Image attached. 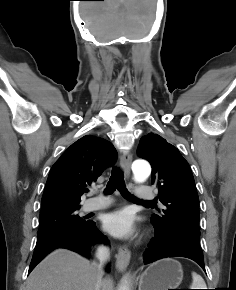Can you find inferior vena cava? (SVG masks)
Returning <instances> with one entry per match:
<instances>
[{
    "label": "inferior vena cava",
    "mask_w": 236,
    "mask_h": 290,
    "mask_svg": "<svg viewBox=\"0 0 236 290\" xmlns=\"http://www.w3.org/2000/svg\"><path fill=\"white\" fill-rule=\"evenodd\" d=\"M110 260V250L106 246H100L98 247L95 255V260L93 261V265L97 268L98 270V290L100 287V282L102 278V273H103V266Z\"/></svg>",
    "instance_id": "1"
}]
</instances>
